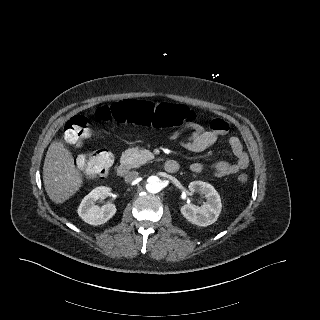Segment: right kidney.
<instances>
[{"label": "right kidney", "mask_w": 320, "mask_h": 320, "mask_svg": "<svg viewBox=\"0 0 320 320\" xmlns=\"http://www.w3.org/2000/svg\"><path fill=\"white\" fill-rule=\"evenodd\" d=\"M110 188L99 186L86 195L78 207V215L90 225H102L111 219L116 213V206L106 203L103 206L96 205V201L109 196Z\"/></svg>", "instance_id": "ca27d5eb"}]
</instances>
